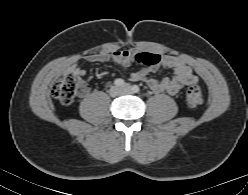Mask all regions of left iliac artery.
Here are the masks:
<instances>
[{
	"label": "left iliac artery",
	"mask_w": 248,
	"mask_h": 195,
	"mask_svg": "<svg viewBox=\"0 0 248 195\" xmlns=\"http://www.w3.org/2000/svg\"><path fill=\"white\" fill-rule=\"evenodd\" d=\"M139 91H140V88H139L138 85H133V86H132V92L138 93Z\"/></svg>",
	"instance_id": "1"
}]
</instances>
